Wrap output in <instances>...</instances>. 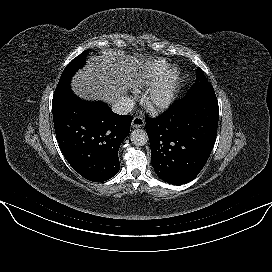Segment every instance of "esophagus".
Returning a JSON list of instances; mask_svg holds the SVG:
<instances>
[{
  "label": "esophagus",
  "instance_id": "esophagus-1",
  "mask_svg": "<svg viewBox=\"0 0 272 272\" xmlns=\"http://www.w3.org/2000/svg\"><path fill=\"white\" fill-rule=\"evenodd\" d=\"M144 126V120L140 116H136L132 120V127L133 128H141Z\"/></svg>",
  "mask_w": 272,
  "mask_h": 272
}]
</instances>
